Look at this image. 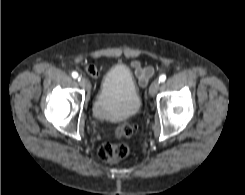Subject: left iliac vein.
Listing matches in <instances>:
<instances>
[{"label": "left iliac vein", "mask_w": 245, "mask_h": 195, "mask_svg": "<svg viewBox=\"0 0 245 195\" xmlns=\"http://www.w3.org/2000/svg\"><path fill=\"white\" fill-rule=\"evenodd\" d=\"M160 88V82L159 81H154L150 88H149V93L151 96H154Z\"/></svg>", "instance_id": "4c4485c4"}]
</instances>
